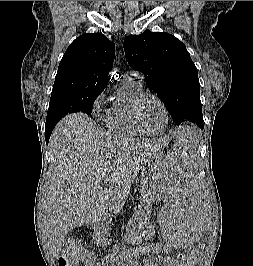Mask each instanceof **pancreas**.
<instances>
[{
  "mask_svg": "<svg viewBox=\"0 0 253 266\" xmlns=\"http://www.w3.org/2000/svg\"><path fill=\"white\" fill-rule=\"evenodd\" d=\"M145 234H148L147 232H144V236H145Z\"/></svg>",
  "mask_w": 253,
  "mask_h": 266,
  "instance_id": "pancreas-1",
  "label": "pancreas"
}]
</instances>
